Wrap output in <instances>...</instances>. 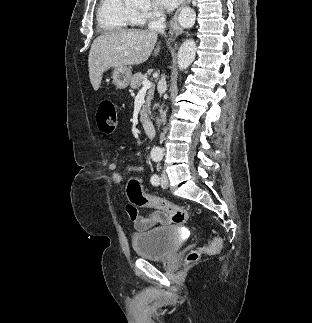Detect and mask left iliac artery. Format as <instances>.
Instances as JSON below:
<instances>
[{"mask_svg":"<svg viewBox=\"0 0 312 323\" xmlns=\"http://www.w3.org/2000/svg\"><path fill=\"white\" fill-rule=\"evenodd\" d=\"M155 161H158L159 159L157 158H154ZM159 180H160V177L157 175V174H154L152 177H151V183L155 186L159 185Z\"/></svg>","mask_w":312,"mask_h":323,"instance_id":"1","label":"left iliac artery"}]
</instances>
